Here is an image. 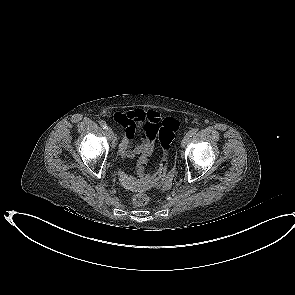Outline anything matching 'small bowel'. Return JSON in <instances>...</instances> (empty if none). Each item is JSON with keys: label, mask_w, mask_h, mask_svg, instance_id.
<instances>
[{"label": "small bowel", "mask_w": 295, "mask_h": 295, "mask_svg": "<svg viewBox=\"0 0 295 295\" xmlns=\"http://www.w3.org/2000/svg\"><path fill=\"white\" fill-rule=\"evenodd\" d=\"M113 118L125 127L123 140L119 145L122 157L134 158L138 155L150 156L152 154L156 136L151 132V125L154 122H160V115L157 112L137 109L126 113H115ZM136 130L142 131V139L133 144ZM119 181L129 189L148 190L150 188L148 181L133 180L126 174H121Z\"/></svg>", "instance_id": "obj_1"}]
</instances>
